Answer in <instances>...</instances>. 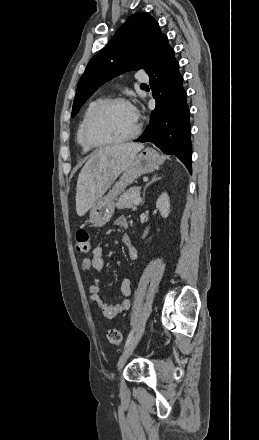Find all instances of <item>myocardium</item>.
<instances>
[{"mask_svg": "<svg viewBox=\"0 0 259 440\" xmlns=\"http://www.w3.org/2000/svg\"><path fill=\"white\" fill-rule=\"evenodd\" d=\"M116 104H126V105H129L132 107L131 103L127 99L122 98V97H114V98H109V99L103 100L98 105H96L91 110V112L88 114V116L83 124L82 135H83L84 142L89 147L98 149V148H104V147H108V146L126 143V142L131 141L134 138H136L139 135V133L141 132V123L137 117L136 126H135L134 130L129 135H127L123 138L116 139V140H109V141H96L91 137L90 129H91V126H92L94 120L102 112H104L106 109H108L109 107L116 105Z\"/></svg>", "mask_w": 259, "mask_h": 440, "instance_id": "1", "label": "myocardium"}]
</instances>
